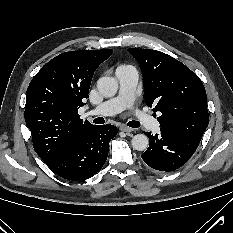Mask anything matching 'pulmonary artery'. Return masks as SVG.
Returning <instances> with one entry per match:
<instances>
[{"instance_id": "e3ab8cb5", "label": "pulmonary artery", "mask_w": 233, "mask_h": 233, "mask_svg": "<svg viewBox=\"0 0 233 233\" xmlns=\"http://www.w3.org/2000/svg\"><path fill=\"white\" fill-rule=\"evenodd\" d=\"M116 78L119 83L118 94L92 110H89L87 116H112L126 108H132L135 101L136 87L138 83V72L130 66H120L116 70ZM138 122L146 129L156 132L160 126L157 120L150 115L135 111Z\"/></svg>"}]
</instances>
